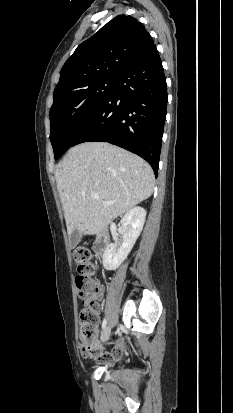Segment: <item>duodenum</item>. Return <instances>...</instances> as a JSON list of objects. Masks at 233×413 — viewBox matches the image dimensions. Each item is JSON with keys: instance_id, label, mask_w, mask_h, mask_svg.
<instances>
[{"instance_id": "410a0bca", "label": "duodenum", "mask_w": 233, "mask_h": 413, "mask_svg": "<svg viewBox=\"0 0 233 413\" xmlns=\"http://www.w3.org/2000/svg\"><path fill=\"white\" fill-rule=\"evenodd\" d=\"M109 241H110L109 234L105 230L98 231L95 242H94V246H93L94 252L97 255H102L105 252L109 244Z\"/></svg>"}]
</instances>
